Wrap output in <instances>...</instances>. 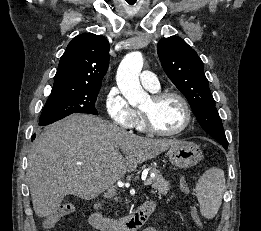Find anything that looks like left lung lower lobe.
I'll return each mask as SVG.
<instances>
[{
    "label": "left lung lower lobe",
    "mask_w": 261,
    "mask_h": 231,
    "mask_svg": "<svg viewBox=\"0 0 261 231\" xmlns=\"http://www.w3.org/2000/svg\"><path fill=\"white\" fill-rule=\"evenodd\" d=\"M225 149L228 147V143L218 141Z\"/></svg>",
    "instance_id": "left-lung-lower-lobe-1"
}]
</instances>
